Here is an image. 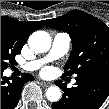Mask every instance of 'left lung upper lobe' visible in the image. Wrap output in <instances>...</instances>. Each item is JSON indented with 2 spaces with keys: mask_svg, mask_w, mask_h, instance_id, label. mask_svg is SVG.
Here are the masks:
<instances>
[{
  "mask_svg": "<svg viewBox=\"0 0 109 109\" xmlns=\"http://www.w3.org/2000/svg\"><path fill=\"white\" fill-rule=\"evenodd\" d=\"M50 28L67 32L72 52L64 68L69 76L98 71L109 74V27L98 18L80 10L42 21Z\"/></svg>",
  "mask_w": 109,
  "mask_h": 109,
  "instance_id": "left-lung-upper-lobe-1",
  "label": "left lung upper lobe"
}]
</instances>
